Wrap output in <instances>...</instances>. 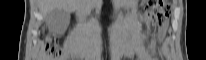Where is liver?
I'll return each instance as SVG.
<instances>
[{
  "instance_id": "1",
  "label": "liver",
  "mask_w": 206,
  "mask_h": 60,
  "mask_svg": "<svg viewBox=\"0 0 206 60\" xmlns=\"http://www.w3.org/2000/svg\"><path fill=\"white\" fill-rule=\"evenodd\" d=\"M85 2L86 0H39L41 11L45 15L55 9L71 12Z\"/></svg>"
}]
</instances>
